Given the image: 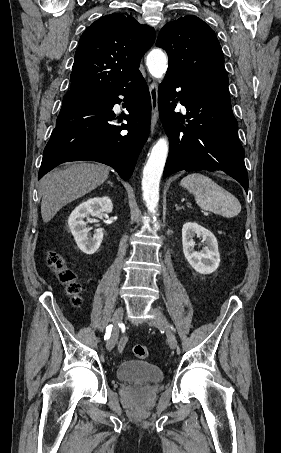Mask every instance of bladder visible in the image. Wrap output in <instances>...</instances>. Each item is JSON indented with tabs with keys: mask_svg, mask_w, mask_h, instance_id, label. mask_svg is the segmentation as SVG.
Masks as SVG:
<instances>
[{
	"mask_svg": "<svg viewBox=\"0 0 281 453\" xmlns=\"http://www.w3.org/2000/svg\"><path fill=\"white\" fill-rule=\"evenodd\" d=\"M121 380L144 383H157L163 379V372L156 366L145 362L126 361L117 367Z\"/></svg>",
	"mask_w": 281,
	"mask_h": 453,
	"instance_id": "1",
	"label": "bladder"
}]
</instances>
